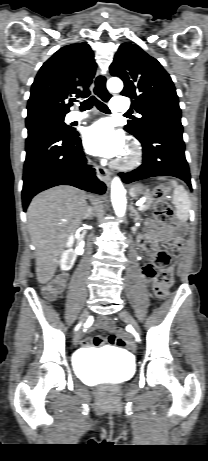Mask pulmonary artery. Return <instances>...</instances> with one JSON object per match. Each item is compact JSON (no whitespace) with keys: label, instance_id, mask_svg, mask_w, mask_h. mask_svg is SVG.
Returning <instances> with one entry per match:
<instances>
[{"label":"pulmonary artery","instance_id":"e3ab8cb5","mask_svg":"<svg viewBox=\"0 0 208 461\" xmlns=\"http://www.w3.org/2000/svg\"><path fill=\"white\" fill-rule=\"evenodd\" d=\"M110 107L113 112L123 113L128 111L129 105L127 104L125 97H114L110 103ZM87 117V114L73 113L70 117L71 121L83 120Z\"/></svg>","mask_w":208,"mask_h":461}]
</instances>
